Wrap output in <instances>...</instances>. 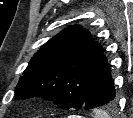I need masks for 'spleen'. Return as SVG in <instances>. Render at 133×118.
I'll return each instance as SVG.
<instances>
[{
	"mask_svg": "<svg viewBox=\"0 0 133 118\" xmlns=\"http://www.w3.org/2000/svg\"><path fill=\"white\" fill-rule=\"evenodd\" d=\"M99 116H101V118H107L106 114H99Z\"/></svg>",
	"mask_w": 133,
	"mask_h": 118,
	"instance_id": "obj_1",
	"label": "spleen"
}]
</instances>
